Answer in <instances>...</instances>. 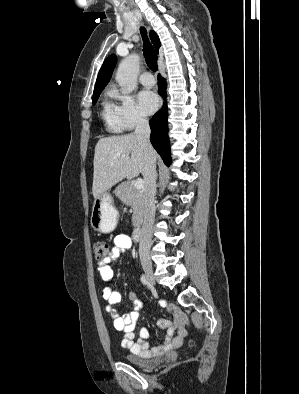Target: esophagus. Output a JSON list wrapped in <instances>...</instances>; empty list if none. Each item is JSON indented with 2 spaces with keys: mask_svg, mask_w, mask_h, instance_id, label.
Listing matches in <instances>:
<instances>
[{
  "mask_svg": "<svg viewBox=\"0 0 299 394\" xmlns=\"http://www.w3.org/2000/svg\"><path fill=\"white\" fill-rule=\"evenodd\" d=\"M160 102H161V105H162V103H163V100L161 99V101H160Z\"/></svg>",
  "mask_w": 299,
  "mask_h": 394,
  "instance_id": "1",
  "label": "esophagus"
}]
</instances>
